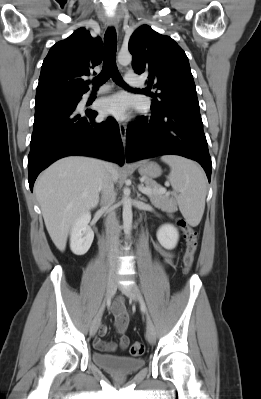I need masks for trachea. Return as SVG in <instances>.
Wrapping results in <instances>:
<instances>
[{
    "instance_id": "3493384b",
    "label": "trachea",
    "mask_w": 261,
    "mask_h": 399,
    "mask_svg": "<svg viewBox=\"0 0 261 399\" xmlns=\"http://www.w3.org/2000/svg\"><path fill=\"white\" fill-rule=\"evenodd\" d=\"M116 48V31L111 27L107 29L104 36L103 68L101 73L94 80V87L105 83L110 77H112L117 84L126 87L116 66Z\"/></svg>"
}]
</instances>
